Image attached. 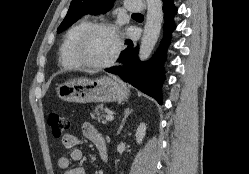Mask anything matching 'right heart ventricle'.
Instances as JSON below:
<instances>
[{"label":"right heart ventricle","instance_id":"1","mask_svg":"<svg viewBox=\"0 0 249 174\" xmlns=\"http://www.w3.org/2000/svg\"><path fill=\"white\" fill-rule=\"evenodd\" d=\"M88 24V21L81 20L67 31L59 53L60 63L64 68L77 70L81 67L74 56L73 47L76 39Z\"/></svg>","mask_w":249,"mask_h":174}]
</instances>
